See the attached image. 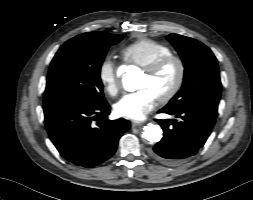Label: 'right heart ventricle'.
I'll list each match as a JSON object with an SVG mask.
<instances>
[{
	"mask_svg": "<svg viewBox=\"0 0 253 200\" xmlns=\"http://www.w3.org/2000/svg\"><path fill=\"white\" fill-rule=\"evenodd\" d=\"M121 53L127 64L144 68L162 57L171 55L172 50L155 40L141 39L126 46Z\"/></svg>",
	"mask_w": 253,
	"mask_h": 200,
	"instance_id": "1",
	"label": "right heart ventricle"
}]
</instances>
